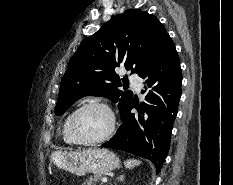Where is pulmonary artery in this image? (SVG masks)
Returning <instances> with one entry per match:
<instances>
[{"label": "pulmonary artery", "instance_id": "1", "mask_svg": "<svg viewBox=\"0 0 233 185\" xmlns=\"http://www.w3.org/2000/svg\"><path fill=\"white\" fill-rule=\"evenodd\" d=\"M130 82L132 86L137 90L140 91L141 85H142V80L139 76L137 75H130Z\"/></svg>", "mask_w": 233, "mask_h": 185}]
</instances>
